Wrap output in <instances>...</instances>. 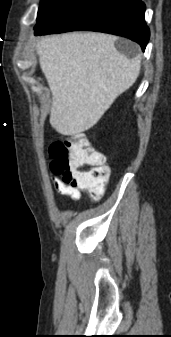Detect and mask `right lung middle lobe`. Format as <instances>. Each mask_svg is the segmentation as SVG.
Returning a JSON list of instances; mask_svg holds the SVG:
<instances>
[{"instance_id":"right-lung-middle-lobe-1","label":"right lung middle lobe","mask_w":171,"mask_h":337,"mask_svg":"<svg viewBox=\"0 0 171 337\" xmlns=\"http://www.w3.org/2000/svg\"><path fill=\"white\" fill-rule=\"evenodd\" d=\"M71 0H41V4L37 16L38 26L48 22L57 15Z\"/></svg>"}]
</instances>
